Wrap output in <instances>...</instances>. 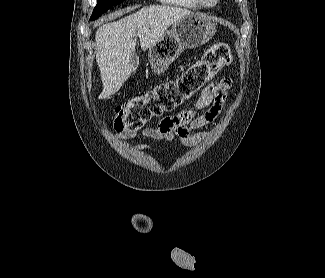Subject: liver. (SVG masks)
I'll return each mask as SVG.
<instances>
[{
  "instance_id": "1",
  "label": "liver",
  "mask_w": 325,
  "mask_h": 278,
  "mask_svg": "<svg viewBox=\"0 0 325 278\" xmlns=\"http://www.w3.org/2000/svg\"><path fill=\"white\" fill-rule=\"evenodd\" d=\"M189 15L194 13L185 8L151 5L100 26L95 34L96 62L103 84L99 98L115 94L132 74L131 57L135 54L137 36L141 48L147 50L163 37L170 25Z\"/></svg>"
}]
</instances>
